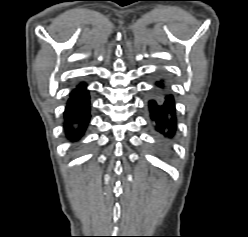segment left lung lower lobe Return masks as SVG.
Here are the masks:
<instances>
[{"mask_svg": "<svg viewBox=\"0 0 248 237\" xmlns=\"http://www.w3.org/2000/svg\"><path fill=\"white\" fill-rule=\"evenodd\" d=\"M162 86V83H158ZM151 118L155 122L156 129L164 133V129L168 128L169 132L165 135L171 136L176 128L175 106L173 97L167 95L165 99H152L149 101ZM171 115V117H170Z\"/></svg>", "mask_w": 248, "mask_h": 237, "instance_id": "left-lung-lower-lobe-1", "label": "left lung lower lobe"}]
</instances>
